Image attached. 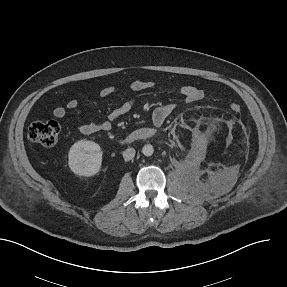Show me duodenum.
<instances>
[{"label": "duodenum", "mask_w": 287, "mask_h": 287, "mask_svg": "<svg viewBox=\"0 0 287 287\" xmlns=\"http://www.w3.org/2000/svg\"><path fill=\"white\" fill-rule=\"evenodd\" d=\"M155 135V130L149 127H142L134 130L128 136L122 138L120 143L122 145L130 144L135 141L150 139Z\"/></svg>", "instance_id": "duodenum-1"}]
</instances>
